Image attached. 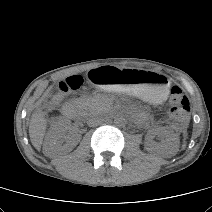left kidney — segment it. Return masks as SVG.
Wrapping results in <instances>:
<instances>
[{"instance_id":"obj_1","label":"left kidney","mask_w":212,"mask_h":212,"mask_svg":"<svg viewBox=\"0 0 212 212\" xmlns=\"http://www.w3.org/2000/svg\"><path fill=\"white\" fill-rule=\"evenodd\" d=\"M155 134L161 139L160 142H155L152 138H147L145 148L149 152L158 153L164 157L175 155L179 148V139L177 134L166 128H159Z\"/></svg>"}]
</instances>
